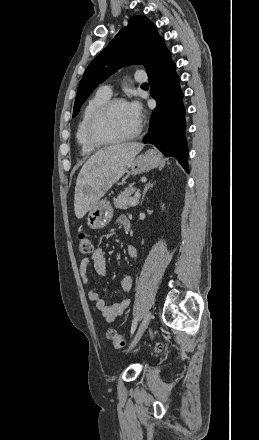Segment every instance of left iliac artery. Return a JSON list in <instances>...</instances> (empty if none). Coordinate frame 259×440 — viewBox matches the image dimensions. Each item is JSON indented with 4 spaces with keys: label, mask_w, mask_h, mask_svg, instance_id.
Segmentation results:
<instances>
[{
    "label": "left iliac artery",
    "mask_w": 259,
    "mask_h": 440,
    "mask_svg": "<svg viewBox=\"0 0 259 440\" xmlns=\"http://www.w3.org/2000/svg\"><path fill=\"white\" fill-rule=\"evenodd\" d=\"M137 322H138V318L135 317L134 320H133L132 326H131V334L134 333V331H135V329L137 327Z\"/></svg>",
    "instance_id": "obj_1"
}]
</instances>
